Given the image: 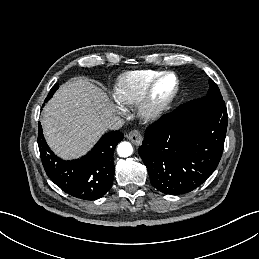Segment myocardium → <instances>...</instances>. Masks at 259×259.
<instances>
[{
	"label": "myocardium",
	"mask_w": 259,
	"mask_h": 259,
	"mask_svg": "<svg viewBox=\"0 0 259 259\" xmlns=\"http://www.w3.org/2000/svg\"><path fill=\"white\" fill-rule=\"evenodd\" d=\"M172 76L175 84L171 93L161 101H154L153 95L156 86L164 78ZM180 87V80L176 73L164 71L150 81L143 93L136 102L137 116L144 121H153L158 119L175 99Z\"/></svg>",
	"instance_id": "1"
}]
</instances>
